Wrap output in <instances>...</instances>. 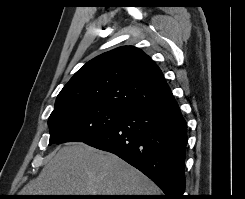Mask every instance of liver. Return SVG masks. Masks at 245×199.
I'll list each match as a JSON object with an SVG mask.
<instances>
[{
	"label": "liver",
	"instance_id": "1",
	"mask_svg": "<svg viewBox=\"0 0 245 199\" xmlns=\"http://www.w3.org/2000/svg\"><path fill=\"white\" fill-rule=\"evenodd\" d=\"M19 195H158L159 188L118 156L69 143Z\"/></svg>",
	"mask_w": 245,
	"mask_h": 199
}]
</instances>
